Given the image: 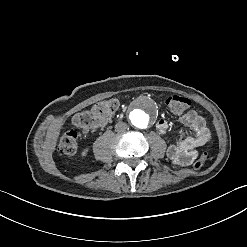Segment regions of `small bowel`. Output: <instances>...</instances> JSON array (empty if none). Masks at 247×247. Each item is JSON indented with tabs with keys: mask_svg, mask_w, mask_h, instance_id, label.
I'll list each match as a JSON object with an SVG mask.
<instances>
[{
	"mask_svg": "<svg viewBox=\"0 0 247 247\" xmlns=\"http://www.w3.org/2000/svg\"><path fill=\"white\" fill-rule=\"evenodd\" d=\"M180 121L189 127L192 132L181 131V139L169 145L167 155L173 164L189 166L197 157V148L204 146L208 142L210 136L207 135V132L209 130L206 127L204 117L194 110L184 113L180 117ZM105 123L94 129H84V131H94L103 127ZM156 129L159 133L166 134L169 130V124L166 120L161 119L156 123Z\"/></svg>",
	"mask_w": 247,
	"mask_h": 247,
	"instance_id": "1",
	"label": "small bowel"
}]
</instances>
